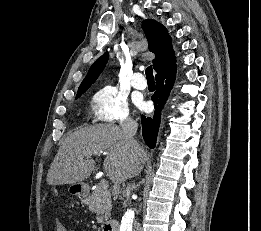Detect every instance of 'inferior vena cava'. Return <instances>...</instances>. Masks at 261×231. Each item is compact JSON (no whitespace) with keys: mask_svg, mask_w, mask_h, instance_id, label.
<instances>
[{"mask_svg":"<svg viewBox=\"0 0 261 231\" xmlns=\"http://www.w3.org/2000/svg\"><path fill=\"white\" fill-rule=\"evenodd\" d=\"M138 125L136 121H134L131 118H125L121 122V129H122V135L125 143L130 147L132 154L134 157H137L141 151L140 145L138 142L134 139V135L137 132ZM129 190V187L127 188V191ZM134 231H138V228L135 226Z\"/></svg>","mask_w":261,"mask_h":231,"instance_id":"1","label":"inferior vena cava"}]
</instances>
